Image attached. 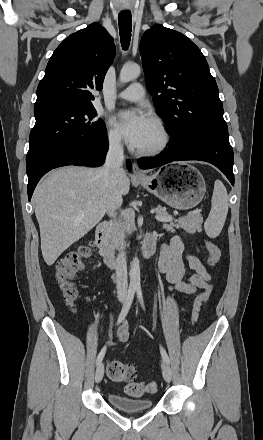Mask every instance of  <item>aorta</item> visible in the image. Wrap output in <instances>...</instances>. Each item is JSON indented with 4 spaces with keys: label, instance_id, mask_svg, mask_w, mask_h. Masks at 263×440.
Instances as JSON below:
<instances>
[{
    "label": "aorta",
    "instance_id": "aorta-1",
    "mask_svg": "<svg viewBox=\"0 0 263 440\" xmlns=\"http://www.w3.org/2000/svg\"><path fill=\"white\" fill-rule=\"evenodd\" d=\"M141 73V68L138 64H125L119 75L121 83H127L136 79ZM130 284L134 287H140V263L137 257H134L130 269Z\"/></svg>",
    "mask_w": 263,
    "mask_h": 440
}]
</instances>
